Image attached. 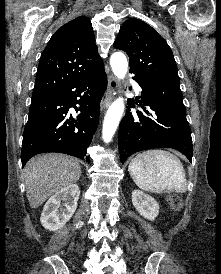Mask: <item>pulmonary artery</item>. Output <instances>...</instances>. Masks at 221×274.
Returning <instances> with one entry per match:
<instances>
[{
  "label": "pulmonary artery",
  "mask_w": 221,
  "mask_h": 274,
  "mask_svg": "<svg viewBox=\"0 0 221 274\" xmlns=\"http://www.w3.org/2000/svg\"><path fill=\"white\" fill-rule=\"evenodd\" d=\"M133 86L136 91H140V86L136 82H133Z\"/></svg>",
  "instance_id": "obj_1"
}]
</instances>
